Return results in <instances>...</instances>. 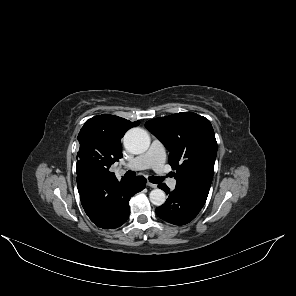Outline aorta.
<instances>
[{
    "label": "aorta",
    "mask_w": 296,
    "mask_h": 296,
    "mask_svg": "<svg viewBox=\"0 0 296 296\" xmlns=\"http://www.w3.org/2000/svg\"><path fill=\"white\" fill-rule=\"evenodd\" d=\"M124 147L133 154L144 153L150 145L148 133L141 128H131L124 135ZM149 198L152 204L161 206L166 201V194L161 189H154L150 192Z\"/></svg>",
    "instance_id": "762f6f07"
}]
</instances>
